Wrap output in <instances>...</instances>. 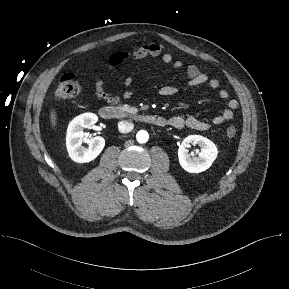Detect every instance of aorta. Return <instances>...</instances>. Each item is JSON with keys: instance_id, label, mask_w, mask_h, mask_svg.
I'll return each instance as SVG.
<instances>
[{"instance_id": "aorta-1", "label": "aorta", "mask_w": 289, "mask_h": 289, "mask_svg": "<svg viewBox=\"0 0 289 289\" xmlns=\"http://www.w3.org/2000/svg\"><path fill=\"white\" fill-rule=\"evenodd\" d=\"M136 139L139 143H146L149 139V134L145 130H140L136 135Z\"/></svg>"}]
</instances>
